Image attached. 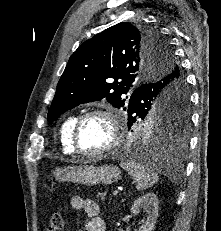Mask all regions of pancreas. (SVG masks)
Segmentation results:
<instances>
[{"instance_id":"1","label":"pancreas","mask_w":221,"mask_h":231,"mask_svg":"<svg viewBox=\"0 0 221 231\" xmlns=\"http://www.w3.org/2000/svg\"><path fill=\"white\" fill-rule=\"evenodd\" d=\"M99 196L101 197V199H102L103 201L106 200V196H105L104 194L100 193Z\"/></svg>"}]
</instances>
